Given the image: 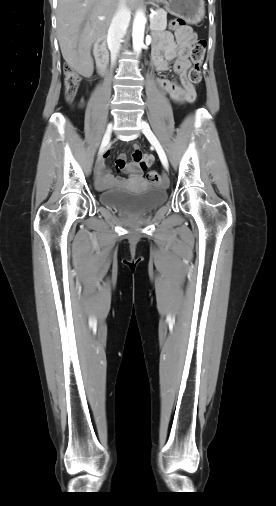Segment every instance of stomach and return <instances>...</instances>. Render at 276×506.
I'll return each mask as SVG.
<instances>
[{"label": "stomach", "instance_id": "1", "mask_svg": "<svg viewBox=\"0 0 276 506\" xmlns=\"http://www.w3.org/2000/svg\"><path fill=\"white\" fill-rule=\"evenodd\" d=\"M166 10L174 16L198 23L205 16L204 0H164Z\"/></svg>", "mask_w": 276, "mask_h": 506}]
</instances>
